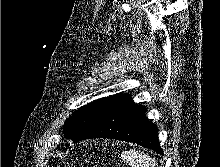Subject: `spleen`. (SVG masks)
Here are the masks:
<instances>
[{
    "label": "spleen",
    "mask_w": 220,
    "mask_h": 167,
    "mask_svg": "<svg viewBox=\"0 0 220 167\" xmlns=\"http://www.w3.org/2000/svg\"><path fill=\"white\" fill-rule=\"evenodd\" d=\"M121 157L124 162L132 167H158L155 159L141 151L126 150L122 152Z\"/></svg>",
    "instance_id": "1"
}]
</instances>
